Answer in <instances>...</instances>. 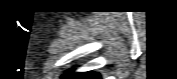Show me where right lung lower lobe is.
<instances>
[{
	"label": "right lung lower lobe",
	"instance_id": "1",
	"mask_svg": "<svg viewBox=\"0 0 177 79\" xmlns=\"http://www.w3.org/2000/svg\"><path fill=\"white\" fill-rule=\"evenodd\" d=\"M71 71L67 72V74H70ZM71 78H81V79H99L100 76L97 73L93 72H85V73H78L71 76Z\"/></svg>",
	"mask_w": 177,
	"mask_h": 79
}]
</instances>
